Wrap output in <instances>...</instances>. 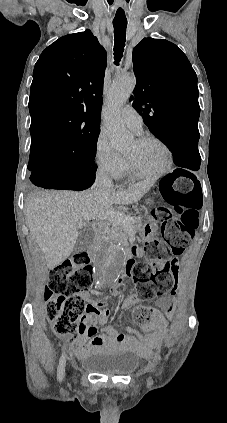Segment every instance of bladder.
<instances>
[{
	"instance_id": "31cf9c89",
	"label": "bladder",
	"mask_w": 227,
	"mask_h": 423,
	"mask_svg": "<svg viewBox=\"0 0 227 423\" xmlns=\"http://www.w3.org/2000/svg\"><path fill=\"white\" fill-rule=\"evenodd\" d=\"M137 356L131 352L120 354L97 353L88 358L87 367L96 373L126 374L134 371Z\"/></svg>"
}]
</instances>
